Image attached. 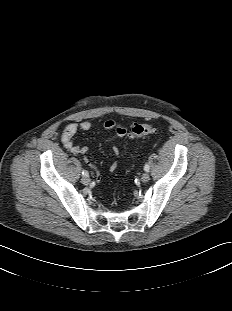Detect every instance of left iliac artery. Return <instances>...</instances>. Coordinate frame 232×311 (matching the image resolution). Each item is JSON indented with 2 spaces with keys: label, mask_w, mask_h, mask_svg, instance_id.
Masks as SVG:
<instances>
[{
  "label": "left iliac artery",
  "mask_w": 232,
  "mask_h": 311,
  "mask_svg": "<svg viewBox=\"0 0 232 311\" xmlns=\"http://www.w3.org/2000/svg\"><path fill=\"white\" fill-rule=\"evenodd\" d=\"M149 169H150V166H149L148 164H146V165L144 166V170H145L146 172H148Z\"/></svg>",
  "instance_id": "44dca946"
}]
</instances>
